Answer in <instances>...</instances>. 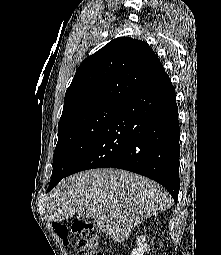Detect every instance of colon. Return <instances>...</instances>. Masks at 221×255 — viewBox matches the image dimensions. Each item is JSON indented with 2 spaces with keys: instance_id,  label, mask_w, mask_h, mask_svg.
Masks as SVG:
<instances>
[{
  "instance_id": "1",
  "label": "colon",
  "mask_w": 221,
  "mask_h": 255,
  "mask_svg": "<svg viewBox=\"0 0 221 255\" xmlns=\"http://www.w3.org/2000/svg\"><path fill=\"white\" fill-rule=\"evenodd\" d=\"M55 232L64 246L70 244L69 235L77 238V255H106L100 245V236L95 225L88 221H75L70 227L62 222L54 223Z\"/></svg>"
}]
</instances>
